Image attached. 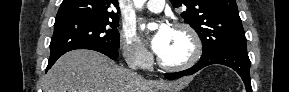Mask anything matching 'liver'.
Returning a JSON list of instances; mask_svg holds the SVG:
<instances>
[{"label":"liver","instance_id":"1","mask_svg":"<svg viewBox=\"0 0 289 92\" xmlns=\"http://www.w3.org/2000/svg\"><path fill=\"white\" fill-rule=\"evenodd\" d=\"M186 81L146 80L96 51L77 49L61 56L43 79L44 92L176 91Z\"/></svg>","mask_w":289,"mask_h":92}]
</instances>
